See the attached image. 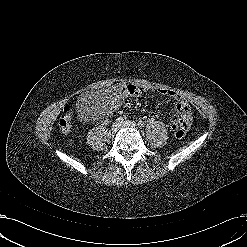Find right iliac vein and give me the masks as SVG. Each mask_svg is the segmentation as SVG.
Here are the masks:
<instances>
[{"instance_id": "1", "label": "right iliac vein", "mask_w": 247, "mask_h": 247, "mask_svg": "<svg viewBox=\"0 0 247 247\" xmlns=\"http://www.w3.org/2000/svg\"><path fill=\"white\" fill-rule=\"evenodd\" d=\"M116 127H117V125H115V126L113 127V130H114V131H116V129H117Z\"/></svg>"}]
</instances>
